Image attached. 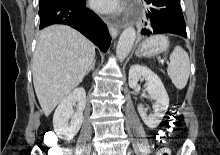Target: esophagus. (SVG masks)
Listing matches in <instances>:
<instances>
[{
	"mask_svg": "<svg viewBox=\"0 0 220 155\" xmlns=\"http://www.w3.org/2000/svg\"><path fill=\"white\" fill-rule=\"evenodd\" d=\"M121 28H122L121 24H117V23L109 24V33L113 39L118 35Z\"/></svg>",
	"mask_w": 220,
	"mask_h": 155,
	"instance_id": "obj_1",
	"label": "esophagus"
}]
</instances>
